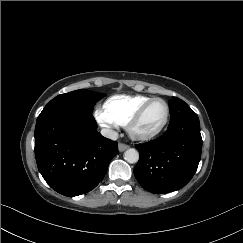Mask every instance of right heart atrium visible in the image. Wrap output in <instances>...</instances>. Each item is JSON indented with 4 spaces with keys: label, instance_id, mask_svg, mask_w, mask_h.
<instances>
[{
    "label": "right heart atrium",
    "instance_id": "right-heart-atrium-1",
    "mask_svg": "<svg viewBox=\"0 0 243 243\" xmlns=\"http://www.w3.org/2000/svg\"><path fill=\"white\" fill-rule=\"evenodd\" d=\"M95 118L100 125L108 129H114L117 126L116 121L110 117L104 109H96L94 112Z\"/></svg>",
    "mask_w": 243,
    "mask_h": 243
}]
</instances>
